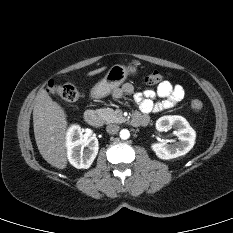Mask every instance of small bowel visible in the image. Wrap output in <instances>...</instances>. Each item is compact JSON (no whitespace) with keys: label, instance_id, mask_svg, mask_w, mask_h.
Here are the masks:
<instances>
[{"label":"small bowel","instance_id":"c3829d8e","mask_svg":"<svg viewBox=\"0 0 233 233\" xmlns=\"http://www.w3.org/2000/svg\"><path fill=\"white\" fill-rule=\"evenodd\" d=\"M124 94H133L140 110L135 113L133 123L139 125L138 121L141 120L142 124L140 125H144L149 121L151 113H158L179 104L184 98L185 91L181 85H173L169 81H165L159 84L156 90L135 92L132 84L125 83L114 92V96L117 98Z\"/></svg>","mask_w":233,"mask_h":233}]
</instances>
